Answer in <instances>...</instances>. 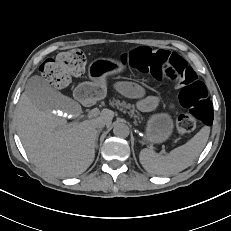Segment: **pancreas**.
<instances>
[{
	"label": "pancreas",
	"mask_w": 231,
	"mask_h": 231,
	"mask_svg": "<svg viewBox=\"0 0 231 231\" xmlns=\"http://www.w3.org/2000/svg\"><path fill=\"white\" fill-rule=\"evenodd\" d=\"M110 105L112 107H116L117 109H119L121 111L128 112L132 117L137 119L139 123L142 121L141 115L136 110V108L133 105H131L130 103H127L125 101H120L118 99H113L110 102Z\"/></svg>",
	"instance_id": "cf45deb5"
}]
</instances>
